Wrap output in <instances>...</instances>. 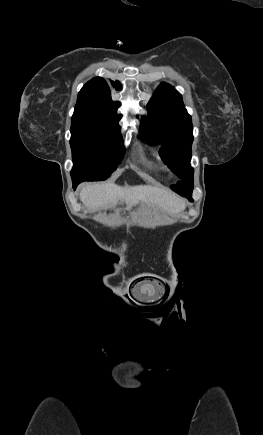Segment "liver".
I'll list each match as a JSON object with an SVG mask.
<instances>
[{"mask_svg":"<svg viewBox=\"0 0 263 435\" xmlns=\"http://www.w3.org/2000/svg\"><path fill=\"white\" fill-rule=\"evenodd\" d=\"M80 200L90 210L114 207L119 201L133 206L139 202L178 213L185 202L177 195L153 186H118L114 183L88 184L80 191Z\"/></svg>","mask_w":263,"mask_h":435,"instance_id":"obj_1","label":"liver"}]
</instances>
